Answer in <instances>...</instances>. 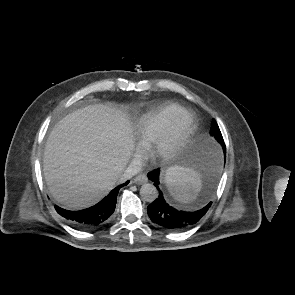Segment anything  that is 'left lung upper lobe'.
Instances as JSON below:
<instances>
[{
    "instance_id": "5c2ea615",
    "label": "left lung upper lobe",
    "mask_w": 295,
    "mask_h": 295,
    "mask_svg": "<svg viewBox=\"0 0 295 295\" xmlns=\"http://www.w3.org/2000/svg\"><path fill=\"white\" fill-rule=\"evenodd\" d=\"M210 133L217 139V141L222 145V147L225 148L224 140L216 121L212 122V128Z\"/></svg>"
}]
</instances>
